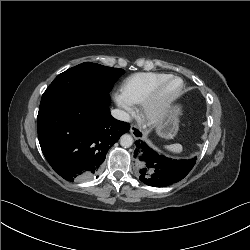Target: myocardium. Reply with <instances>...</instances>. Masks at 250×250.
I'll return each instance as SVG.
<instances>
[{
  "label": "myocardium",
  "instance_id": "obj_1",
  "mask_svg": "<svg viewBox=\"0 0 250 250\" xmlns=\"http://www.w3.org/2000/svg\"><path fill=\"white\" fill-rule=\"evenodd\" d=\"M174 80L180 81L179 89L172 95L163 98L162 94L165 87ZM184 88L183 80L174 75H169L159 81L149 92L146 98L141 103V115L149 124L161 123L169 114L174 103L181 96Z\"/></svg>",
  "mask_w": 250,
  "mask_h": 250
}]
</instances>
